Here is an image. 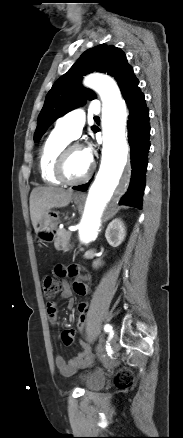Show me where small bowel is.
Listing matches in <instances>:
<instances>
[{"instance_id": "small-bowel-1", "label": "small bowel", "mask_w": 183, "mask_h": 438, "mask_svg": "<svg viewBox=\"0 0 183 438\" xmlns=\"http://www.w3.org/2000/svg\"><path fill=\"white\" fill-rule=\"evenodd\" d=\"M55 273L62 278L70 276H76L78 278L72 286H70L65 279L62 281V292L60 294L62 299H69L74 293L80 296H85L89 293V286L86 284L89 280V275L81 273L78 267L59 264L55 267ZM73 304V301H70L71 307ZM47 311L50 323L55 324L57 321V310L55 305L53 303L49 304ZM75 335L76 331L73 329L64 330L61 335L63 343L65 345H70L73 342ZM91 359V352L85 349L69 361H66L62 355L57 354L55 356V365L63 375L70 376L79 368L84 367Z\"/></svg>"}]
</instances>
